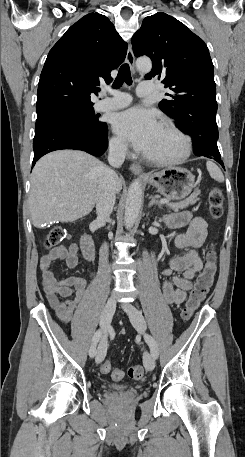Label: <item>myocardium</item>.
Here are the masks:
<instances>
[{"mask_svg": "<svg viewBox=\"0 0 245 457\" xmlns=\"http://www.w3.org/2000/svg\"><path fill=\"white\" fill-rule=\"evenodd\" d=\"M161 128L165 129L166 131L174 134L176 137L179 138V140L181 142L179 151L175 154L163 155V156H153V155L145 154L144 158L146 160H148L152 163L158 164V165H170V164L178 163V162L185 160L190 154L191 142H190L188 136L170 122H163L161 125Z\"/></svg>", "mask_w": 245, "mask_h": 457, "instance_id": "1", "label": "myocardium"}]
</instances>
